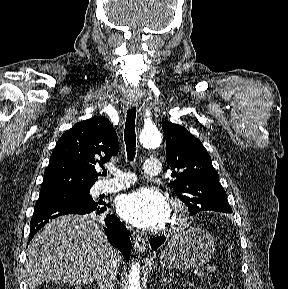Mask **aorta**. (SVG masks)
Wrapping results in <instances>:
<instances>
[{
	"mask_svg": "<svg viewBox=\"0 0 288 289\" xmlns=\"http://www.w3.org/2000/svg\"><path fill=\"white\" fill-rule=\"evenodd\" d=\"M140 143L147 148H157L161 144V134L154 126L146 127L140 133ZM127 289H142L140 284V264L133 262L129 272Z\"/></svg>",
	"mask_w": 288,
	"mask_h": 289,
	"instance_id": "aorta-1",
	"label": "aorta"
}]
</instances>
